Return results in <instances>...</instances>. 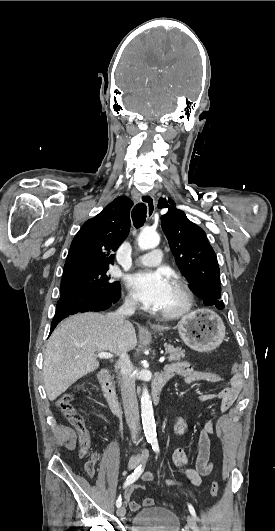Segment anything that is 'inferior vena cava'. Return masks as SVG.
Returning <instances> with one entry per match:
<instances>
[{
    "instance_id": "inferior-vena-cava-1",
    "label": "inferior vena cava",
    "mask_w": 275,
    "mask_h": 531,
    "mask_svg": "<svg viewBox=\"0 0 275 531\" xmlns=\"http://www.w3.org/2000/svg\"><path fill=\"white\" fill-rule=\"evenodd\" d=\"M135 307V301L127 299L124 305H122V307H120L116 313H109L107 319H110V321H113V323H116V325L121 327L126 317L134 315ZM127 353L128 351H125V349H118V351H116V355L119 357V359L115 363V369L120 379V391L126 423L132 433V437H135V435L138 433L139 427V409L136 397L135 381L131 375V363Z\"/></svg>"
}]
</instances>
